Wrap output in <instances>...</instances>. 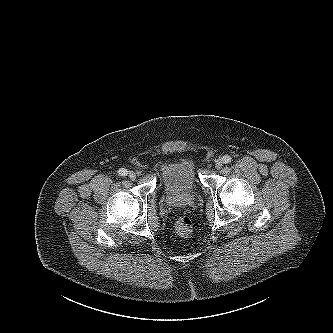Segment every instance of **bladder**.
<instances>
[{
  "label": "bladder",
  "mask_w": 333,
  "mask_h": 333,
  "mask_svg": "<svg viewBox=\"0 0 333 333\" xmlns=\"http://www.w3.org/2000/svg\"><path fill=\"white\" fill-rule=\"evenodd\" d=\"M159 181L169 195L191 194L198 186L197 160L190 155L179 156L160 164Z\"/></svg>",
  "instance_id": "bladder-1"
}]
</instances>
